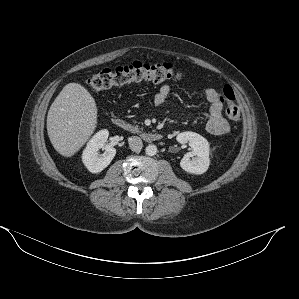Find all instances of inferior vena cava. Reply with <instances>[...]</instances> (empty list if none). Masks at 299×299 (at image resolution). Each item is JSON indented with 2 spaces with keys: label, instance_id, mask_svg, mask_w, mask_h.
Returning a JSON list of instances; mask_svg holds the SVG:
<instances>
[{
  "label": "inferior vena cava",
  "instance_id": "obj_1",
  "mask_svg": "<svg viewBox=\"0 0 299 299\" xmlns=\"http://www.w3.org/2000/svg\"><path fill=\"white\" fill-rule=\"evenodd\" d=\"M143 143L140 137L133 136L129 138V147L134 152H139L142 149Z\"/></svg>",
  "mask_w": 299,
  "mask_h": 299
}]
</instances>
